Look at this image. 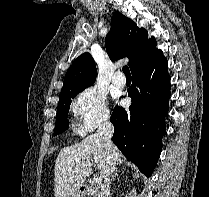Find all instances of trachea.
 <instances>
[{
    "label": "trachea",
    "instance_id": "trachea-1",
    "mask_svg": "<svg viewBox=\"0 0 209 197\" xmlns=\"http://www.w3.org/2000/svg\"><path fill=\"white\" fill-rule=\"evenodd\" d=\"M122 71L125 74V76L131 77V73H130V70H129V67L128 66H124L122 68Z\"/></svg>",
    "mask_w": 209,
    "mask_h": 197
}]
</instances>
